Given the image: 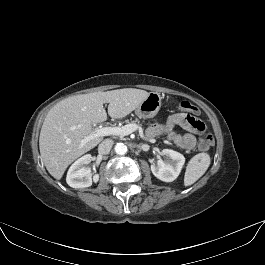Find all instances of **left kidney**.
Instances as JSON below:
<instances>
[{"mask_svg": "<svg viewBox=\"0 0 265 265\" xmlns=\"http://www.w3.org/2000/svg\"><path fill=\"white\" fill-rule=\"evenodd\" d=\"M157 164H151V171L155 177L164 182L174 181L180 174L185 163V157L171 149H163Z\"/></svg>", "mask_w": 265, "mask_h": 265, "instance_id": "5707ae66", "label": "left kidney"}]
</instances>
